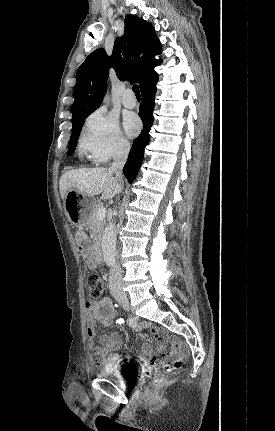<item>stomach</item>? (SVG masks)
I'll return each instance as SVG.
<instances>
[{
	"label": "stomach",
	"mask_w": 275,
	"mask_h": 431,
	"mask_svg": "<svg viewBox=\"0 0 275 431\" xmlns=\"http://www.w3.org/2000/svg\"><path fill=\"white\" fill-rule=\"evenodd\" d=\"M94 203L90 196L69 190L65 196L64 209L70 223L75 227H84Z\"/></svg>",
	"instance_id": "obj_1"
}]
</instances>
